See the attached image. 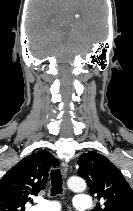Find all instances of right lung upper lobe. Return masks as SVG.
I'll use <instances>...</instances> for the list:
<instances>
[{
    "label": "right lung upper lobe",
    "instance_id": "1",
    "mask_svg": "<svg viewBox=\"0 0 133 211\" xmlns=\"http://www.w3.org/2000/svg\"><path fill=\"white\" fill-rule=\"evenodd\" d=\"M58 165L53 155L39 152L13 166L0 180V211H24L31 195L44 189L51 166Z\"/></svg>",
    "mask_w": 133,
    "mask_h": 211
}]
</instances>
